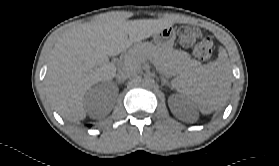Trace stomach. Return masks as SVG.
<instances>
[{"label": "stomach", "instance_id": "0dacf381", "mask_svg": "<svg viewBox=\"0 0 279 166\" xmlns=\"http://www.w3.org/2000/svg\"><path fill=\"white\" fill-rule=\"evenodd\" d=\"M175 38V30L171 26L159 31L153 36L155 44L162 49L171 48L174 44Z\"/></svg>", "mask_w": 279, "mask_h": 166}]
</instances>
